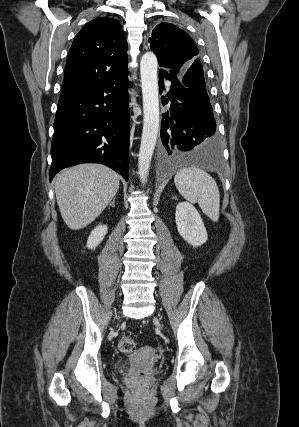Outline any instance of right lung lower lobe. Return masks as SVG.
I'll use <instances>...</instances> for the list:
<instances>
[{
  "label": "right lung lower lobe",
  "instance_id": "1",
  "mask_svg": "<svg viewBox=\"0 0 299 427\" xmlns=\"http://www.w3.org/2000/svg\"><path fill=\"white\" fill-rule=\"evenodd\" d=\"M128 70L108 81L62 95L51 143L49 180L66 167L104 164L128 180Z\"/></svg>",
  "mask_w": 299,
  "mask_h": 427
}]
</instances>
